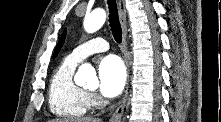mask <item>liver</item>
Listing matches in <instances>:
<instances>
[{
	"instance_id": "6515ba94",
	"label": "liver",
	"mask_w": 221,
	"mask_h": 122,
	"mask_svg": "<svg viewBox=\"0 0 221 122\" xmlns=\"http://www.w3.org/2000/svg\"><path fill=\"white\" fill-rule=\"evenodd\" d=\"M50 122H102L101 119L84 117V118H56Z\"/></svg>"
}]
</instances>
